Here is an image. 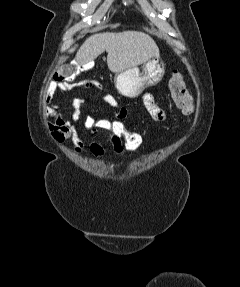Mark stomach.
I'll list each match as a JSON object with an SVG mask.
<instances>
[{
  "label": "stomach",
  "mask_w": 240,
  "mask_h": 287,
  "mask_svg": "<svg viewBox=\"0 0 240 287\" xmlns=\"http://www.w3.org/2000/svg\"><path fill=\"white\" fill-rule=\"evenodd\" d=\"M160 57L149 59L140 71L132 67L115 76V86L119 93L128 98H135L147 87L157 85L163 78L165 69Z\"/></svg>",
  "instance_id": "obj_1"
}]
</instances>
